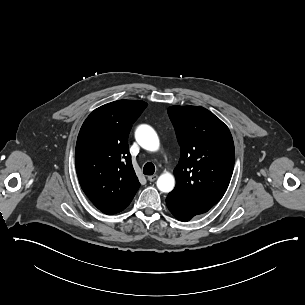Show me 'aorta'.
I'll list each match as a JSON object with an SVG mask.
<instances>
[{
	"label": "aorta",
	"mask_w": 305,
	"mask_h": 305,
	"mask_svg": "<svg viewBox=\"0 0 305 305\" xmlns=\"http://www.w3.org/2000/svg\"><path fill=\"white\" fill-rule=\"evenodd\" d=\"M135 138L138 144L148 151L155 152L159 149L158 135L149 125H140L135 132ZM156 184L161 192L169 193L175 186V178L170 173H163Z\"/></svg>",
	"instance_id": "1"
}]
</instances>
